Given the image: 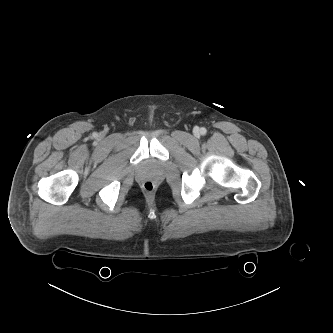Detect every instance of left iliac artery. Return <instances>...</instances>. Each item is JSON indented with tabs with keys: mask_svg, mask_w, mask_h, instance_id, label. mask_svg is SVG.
Segmentation results:
<instances>
[{
	"mask_svg": "<svg viewBox=\"0 0 333 333\" xmlns=\"http://www.w3.org/2000/svg\"><path fill=\"white\" fill-rule=\"evenodd\" d=\"M200 132H201L202 135H205L207 130L205 128H201Z\"/></svg>",
	"mask_w": 333,
	"mask_h": 333,
	"instance_id": "1",
	"label": "left iliac artery"
}]
</instances>
